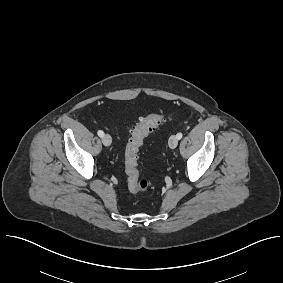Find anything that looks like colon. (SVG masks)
I'll return each mask as SVG.
<instances>
[{"mask_svg":"<svg viewBox=\"0 0 283 283\" xmlns=\"http://www.w3.org/2000/svg\"><path fill=\"white\" fill-rule=\"evenodd\" d=\"M165 121L162 113H152L133 128L125 148V173L127 175L128 189L132 193L147 191L150 181L139 175V150L144 140Z\"/></svg>","mask_w":283,"mask_h":283,"instance_id":"obj_1","label":"colon"}]
</instances>
